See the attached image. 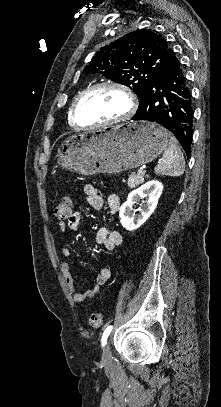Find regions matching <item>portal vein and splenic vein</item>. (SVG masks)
I'll use <instances>...</instances> for the list:
<instances>
[{"label": "portal vein and splenic vein", "instance_id": "18ae733b", "mask_svg": "<svg viewBox=\"0 0 221 407\" xmlns=\"http://www.w3.org/2000/svg\"><path fill=\"white\" fill-rule=\"evenodd\" d=\"M138 173H139V174H144V173H145L144 167H140V168L138 169Z\"/></svg>", "mask_w": 221, "mask_h": 407}]
</instances>
